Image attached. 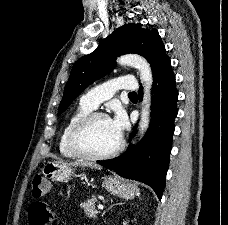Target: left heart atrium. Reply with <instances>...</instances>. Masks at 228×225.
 Here are the masks:
<instances>
[{
  "instance_id": "39dd6f15",
  "label": "left heart atrium",
  "mask_w": 228,
  "mask_h": 225,
  "mask_svg": "<svg viewBox=\"0 0 228 225\" xmlns=\"http://www.w3.org/2000/svg\"><path fill=\"white\" fill-rule=\"evenodd\" d=\"M109 121H110L114 134L118 138H121L127 128V120H126L125 115L122 112L118 111L115 114L114 118L110 119Z\"/></svg>"
}]
</instances>
